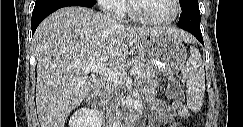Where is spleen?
<instances>
[{
	"instance_id": "spleen-1",
	"label": "spleen",
	"mask_w": 243,
	"mask_h": 127,
	"mask_svg": "<svg viewBox=\"0 0 243 127\" xmlns=\"http://www.w3.org/2000/svg\"><path fill=\"white\" fill-rule=\"evenodd\" d=\"M190 49L191 55L181 72L186 82L187 105L193 112H199L205 94L204 64L199 51L193 46Z\"/></svg>"
}]
</instances>
